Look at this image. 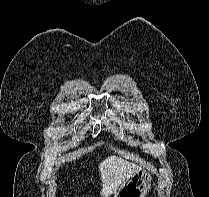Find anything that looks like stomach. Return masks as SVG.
I'll use <instances>...</instances> for the list:
<instances>
[{
	"label": "stomach",
	"mask_w": 209,
	"mask_h": 197,
	"mask_svg": "<svg viewBox=\"0 0 209 197\" xmlns=\"http://www.w3.org/2000/svg\"><path fill=\"white\" fill-rule=\"evenodd\" d=\"M150 183V174L140 169L123 182L115 197H146Z\"/></svg>",
	"instance_id": "stomach-1"
}]
</instances>
